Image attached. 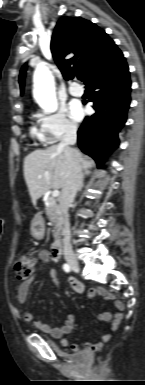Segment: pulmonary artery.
Wrapping results in <instances>:
<instances>
[{
	"instance_id": "1",
	"label": "pulmonary artery",
	"mask_w": 145,
	"mask_h": 385,
	"mask_svg": "<svg viewBox=\"0 0 145 385\" xmlns=\"http://www.w3.org/2000/svg\"><path fill=\"white\" fill-rule=\"evenodd\" d=\"M69 92L73 96L80 97V96L83 95L84 89H83V87L80 84H78L76 82H73L69 86Z\"/></svg>"
}]
</instances>
